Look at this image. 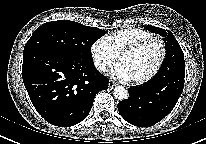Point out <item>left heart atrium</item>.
Wrapping results in <instances>:
<instances>
[{"instance_id": "39dd6f15", "label": "left heart atrium", "mask_w": 206, "mask_h": 144, "mask_svg": "<svg viewBox=\"0 0 206 144\" xmlns=\"http://www.w3.org/2000/svg\"><path fill=\"white\" fill-rule=\"evenodd\" d=\"M112 76L120 81H132L133 76L129 69L122 63L117 64L112 70Z\"/></svg>"}]
</instances>
